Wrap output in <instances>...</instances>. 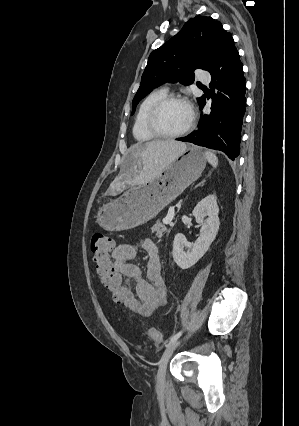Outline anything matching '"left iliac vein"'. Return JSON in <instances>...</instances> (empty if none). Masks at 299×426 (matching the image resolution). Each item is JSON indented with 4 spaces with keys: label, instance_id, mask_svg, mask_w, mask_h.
I'll return each instance as SVG.
<instances>
[{
    "label": "left iliac vein",
    "instance_id": "4c4485c4",
    "mask_svg": "<svg viewBox=\"0 0 299 426\" xmlns=\"http://www.w3.org/2000/svg\"><path fill=\"white\" fill-rule=\"evenodd\" d=\"M181 340H176L173 343H171L166 350L164 351L161 359H160V363H159V369H158V373H157V387L158 388H163V386L165 385V375H166V366L167 363L170 359V357L172 356L173 352L175 351V349L180 345Z\"/></svg>",
    "mask_w": 299,
    "mask_h": 426
}]
</instances>
